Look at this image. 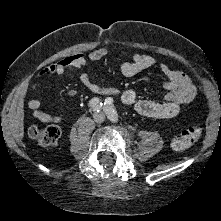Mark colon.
<instances>
[{"label":"colon","mask_w":221,"mask_h":221,"mask_svg":"<svg viewBox=\"0 0 221 221\" xmlns=\"http://www.w3.org/2000/svg\"><path fill=\"white\" fill-rule=\"evenodd\" d=\"M201 134V127H190L176 135L171 141V146L177 151L186 150L199 140ZM60 135L61 131L56 125L44 127L34 126L29 129V136L39 145L45 147H56L58 145Z\"/></svg>","instance_id":"5ec220e1"}]
</instances>
